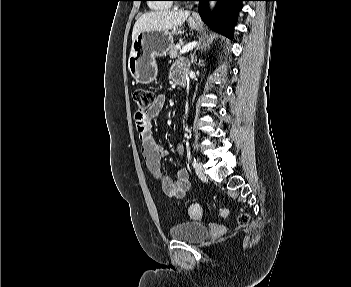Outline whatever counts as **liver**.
Here are the masks:
<instances>
[{
  "label": "liver",
  "mask_w": 351,
  "mask_h": 287,
  "mask_svg": "<svg viewBox=\"0 0 351 287\" xmlns=\"http://www.w3.org/2000/svg\"><path fill=\"white\" fill-rule=\"evenodd\" d=\"M188 11H156L143 14L135 23L132 31V41L142 31H170L181 27Z\"/></svg>",
  "instance_id": "6515ba94"
}]
</instances>
